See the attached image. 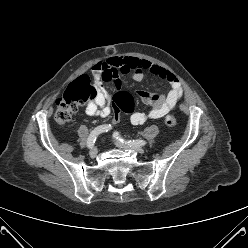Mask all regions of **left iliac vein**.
I'll return each instance as SVG.
<instances>
[{"label": "left iliac vein", "mask_w": 248, "mask_h": 248, "mask_svg": "<svg viewBox=\"0 0 248 248\" xmlns=\"http://www.w3.org/2000/svg\"><path fill=\"white\" fill-rule=\"evenodd\" d=\"M113 142L115 143V145L121 147V148H124V149H130V150H133V151H136L138 153H144V149L140 146H137V145H129L125 142H120L119 140H116L114 139Z\"/></svg>", "instance_id": "obj_1"}]
</instances>
